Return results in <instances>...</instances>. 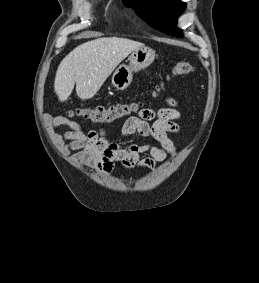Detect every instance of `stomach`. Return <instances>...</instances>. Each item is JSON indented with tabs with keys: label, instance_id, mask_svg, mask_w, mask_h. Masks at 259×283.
I'll return each instance as SVG.
<instances>
[{
	"label": "stomach",
	"instance_id": "0dacf381",
	"mask_svg": "<svg viewBox=\"0 0 259 283\" xmlns=\"http://www.w3.org/2000/svg\"><path fill=\"white\" fill-rule=\"evenodd\" d=\"M155 59V51L141 47L132 51L129 65H120L112 75V84L118 90L126 89L133 79V73L148 67Z\"/></svg>",
	"mask_w": 259,
	"mask_h": 283
}]
</instances>
